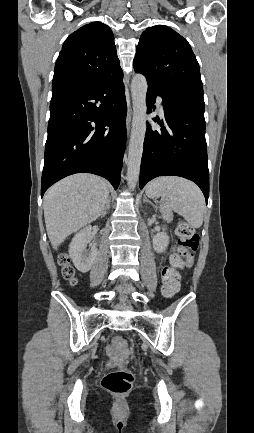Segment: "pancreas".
Masks as SVG:
<instances>
[{
	"mask_svg": "<svg viewBox=\"0 0 254 433\" xmlns=\"http://www.w3.org/2000/svg\"><path fill=\"white\" fill-rule=\"evenodd\" d=\"M160 212L162 213L164 219L171 220L173 216L172 209L167 205H160L159 207Z\"/></svg>",
	"mask_w": 254,
	"mask_h": 433,
	"instance_id": "1",
	"label": "pancreas"
}]
</instances>
